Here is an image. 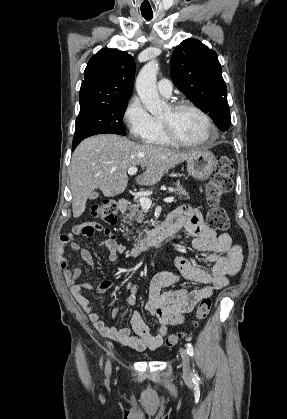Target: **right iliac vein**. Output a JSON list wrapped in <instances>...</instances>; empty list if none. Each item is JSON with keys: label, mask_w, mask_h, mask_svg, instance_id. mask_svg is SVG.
I'll return each instance as SVG.
<instances>
[{"label": "right iliac vein", "mask_w": 287, "mask_h": 419, "mask_svg": "<svg viewBox=\"0 0 287 419\" xmlns=\"http://www.w3.org/2000/svg\"><path fill=\"white\" fill-rule=\"evenodd\" d=\"M111 372V365H110V362H107V365H106V374H109Z\"/></svg>", "instance_id": "right-iliac-vein-1"}]
</instances>
